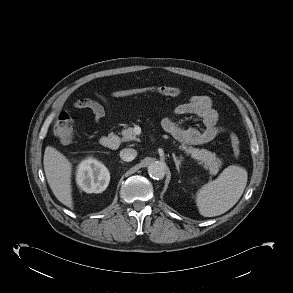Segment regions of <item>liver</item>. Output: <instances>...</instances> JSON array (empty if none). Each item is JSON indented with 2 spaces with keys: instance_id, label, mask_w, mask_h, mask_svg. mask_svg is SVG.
<instances>
[{
  "instance_id": "1",
  "label": "liver",
  "mask_w": 293,
  "mask_h": 293,
  "mask_svg": "<svg viewBox=\"0 0 293 293\" xmlns=\"http://www.w3.org/2000/svg\"><path fill=\"white\" fill-rule=\"evenodd\" d=\"M43 165L47 182L55 197L65 206L73 209L72 199V164L61 152L47 146L44 152Z\"/></svg>"
}]
</instances>
